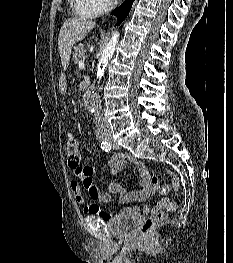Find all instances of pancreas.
<instances>
[{
    "label": "pancreas",
    "mask_w": 233,
    "mask_h": 263,
    "mask_svg": "<svg viewBox=\"0 0 233 263\" xmlns=\"http://www.w3.org/2000/svg\"><path fill=\"white\" fill-rule=\"evenodd\" d=\"M85 52H86V50L81 46L74 47L73 56H74L75 62H78L79 60H84L85 59Z\"/></svg>",
    "instance_id": "obj_1"
}]
</instances>
